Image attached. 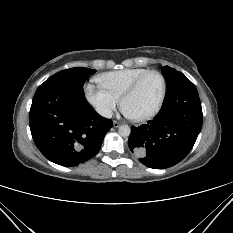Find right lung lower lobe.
I'll return each mask as SVG.
<instances>
[{"instance_id": "98d812e1", "label": "right lung lower lobe", "mask_w": 233, "mask_h": 233, "mask_svg": "<svg viewBox=\"0 0 233 233\" xmlns=\"http://www.w3.org/2000/svg\"><path fill=\"white\" fill-rule=\"evenodd\" d=\"M29 121L40 152L67 167L96 155L112 127V121L100 116L87 102L83 86L49 79L33 97Z\"/></svg>"}]
</instances>
